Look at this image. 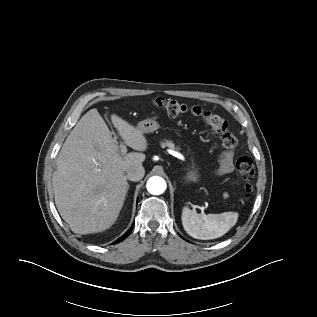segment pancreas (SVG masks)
I'll return each mask as SVG.
<instances>
[{
  "label": "pancreas",
  "instance_id": "1",
  "mask_svg": "<svg viewBox=\"0 0 317 317\" xmlns=\"http://www.w3.org/2000/svg\"><path fill=\"white\" fill-rule=\"evenodd\" d=\"M162 147H168L170 149H175V145L171 141H166L161 144Z\"/></svg>",
  "mask_w": 317,
  "mask_h": 317
}]
</instances>
